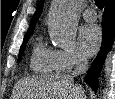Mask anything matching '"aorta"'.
Returning a JSON list of instances; mask_svg holds the SVG:
<instances>
[{"label": "aorta", "instance_id": "1", "mask_svg": "<svg viewBox=\"0 0 115 99\" xmlns=\"http://www.w3.org/2000/svg\"><path fill=\"white\" fill-rule=\"evenodd\" d=\"M80 5L78 0H53L49 16V30L51 39L56 45L62 48L74 45Z\"/></svg>", "mask_w": 115, "mask_h": 99}]
</instances>
